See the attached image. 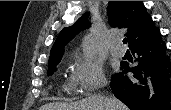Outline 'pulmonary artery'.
Segmentation results:
<instances>
[{"instance_id": "e3ab8cb5", "label": "pulmonary artery", "mask_w": 171, "mask_h": 110, "mask_svg": "<svg viewBox=\"0 0 171 110\" xmlns=\"http://www.w3.org/2000/svg\"><path fill=\"white\" fill-rule=\"evenodd\" d=\"M110 53L113 55V56H116V57H121L124 55L125 53V50L124 48L122 47V43H121V40L120 39H116L112 42L111 46H110Z\"/></svg>"}]
</instances>
